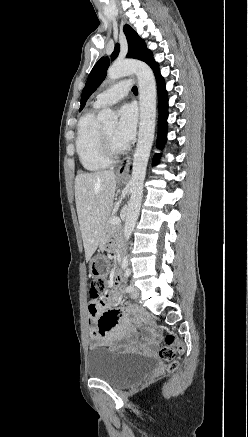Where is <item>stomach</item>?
<instances>
[{
  "label": "stomach",
  "mask_w": 248,
  "mask_h": 437,
  "mask_svg": "<svg viewBox=\"0 0 248 437\" xmlns=\"http://www.w3.org/2000/svg\"><path fill=\"white\" fill-rule=\"evenodd\" d=\"M122 180L121 178H118ZM110 265L108 262H103V257L97 255L94 257L89 265V272L93 273L95 279H104L108 272Z\"/></svg>",
  "instance_id": "1"
}]
</instances>
